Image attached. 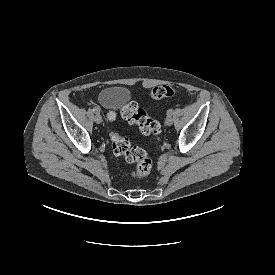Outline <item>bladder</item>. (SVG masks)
<instances>
[{"label":"bladder","instance_id":"31cf9c89","mask_svg":"<svg viewBox=\"0 0 275 275\" xmlns=\"http://www.w3.org/2000/svg\"><path fill=\"white\" fill-rule=\"evenodd\" d=\"M129 96V91L121 86H110L102 90L98 95V102L105 109H119Z\"/></svg>","mask_w":275,"mask_h":275}]
</instances>
